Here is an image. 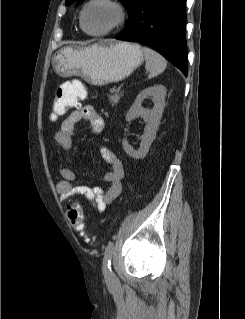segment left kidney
Here are the masks:
<instances>
[{"label":"left kidney","mask_w":245,"mask_h":319,"mask_svg":"<svg viewBox=\"0 0 245 319\" xmlns=\"http://www.w3.org/2000/svg\"><path fill=\"white\" fill-rule=\"evenodd\" d=\"M166 92V87L163 85H154L145 88L137 95L133 105L129 109L126 115V120L128 122L137 117L143 118L146 122V127L144 134L141 136V143L138 150H134L126 139L122 142L124 150L130 157L142 159L147 155L160 125V120L165 107ZM148 97H152L154 102V107L151 110L144 109L141 105L143 100Z\"/></svg>","instance_id":"left-kidney-1"}]
</instances>
